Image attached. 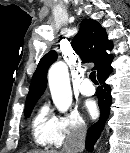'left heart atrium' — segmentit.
<instances>
[{
	"mask_svg": "<svg viewBox=\"0 0 130 153\" xmlns=\"http://www.w3.org/2000/svg\"><path fill=\"white\" fill-rule=\"evenodd\" d=\"M85 110L87 113L91 116L94 117L97 114V106L96 103L93 100H87L84 104Z\"/></svg>",
	"mask_w": 130,
	"mask_h": 153,
	"instance_id": "39dd6f15",
	"label": "left heart atrium"
}]
</instances>
